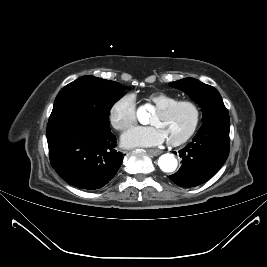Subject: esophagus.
<instances>
[{"instance_id": "1", "label": "esophagus", "mask_w": 267, "mask_h": 267, "mask_svg": "<svg viewBox=\"0 0 267 267\" xmlns=\"http://www.w3.org/2000/svg\"><path fill=\"white\" fill-rule=\"evenodd\" d=\"M147 152L153 156H157L162 153L159 149H148Z\"/></svg>"}]
</instances>
